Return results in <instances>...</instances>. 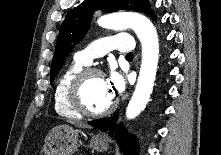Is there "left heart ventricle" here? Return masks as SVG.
<instances>
[{
    "mask_svg": "<svg viewBox=\"0 0 221 155\" xmlns=\"http://www.w3.org/2000/svg\"><path fill=\"white\" fill-rule=\"evenodd\" d=\"M81 95L86 107L96 112L104 110L114 100V96L107 86L106 78L101 75L90 77L85 82Z\"/></svg>",
    "mask_w": 221,
    "mask_h": 155,
    "instance_id": "obj_1",
    "label": "left heart ventricle"
}]
</instances>
